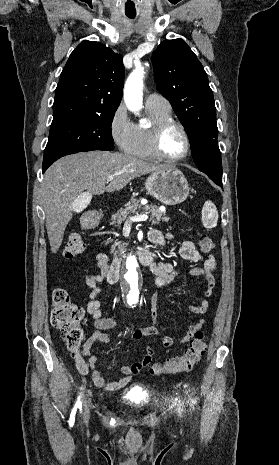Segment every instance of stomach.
Segmentation results:
<instances>
[{
  "instance_id": "stomach-1",
  "label": "stomach",
  "mask_w": 279,
  "mask_h": 465,
  "mask_svg": "<svg viewBox=\"0 0 279 465\" xmlns=\"http://www.w3.org/2000/svg\"><path fill=\"white\" fill-rule=\"evenodd\" d=\"M148 194L165 205L182 203L189 195V185L183 173L175 167H167L151 174L145 181ZM99 223V216H87L83 225L94 227Z\"/></svg>"
}]
</instances>
